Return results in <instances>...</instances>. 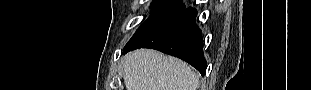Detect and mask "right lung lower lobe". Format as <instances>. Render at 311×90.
Returning <instances> with one entry per match:
<instances>
[{
	"label": "right lung lower lobe",
	"instance_id": "obj_1",
	"mask_svg": "<svg viewBox=\"0 0 311 90\" xmlns=\"http://www.w3.org/2000/svg\"><path fill=\"white\" fill-rule=\"evenodd\" d=\"M195 9H184L174 19L134 43H127L123 53L137 48H153L185 60L202 75L207 64L203 55L201 31L195 24Z\"/></svg>",
	"mask_w": 311,
	"mask_h": 90
}]
</instances>
